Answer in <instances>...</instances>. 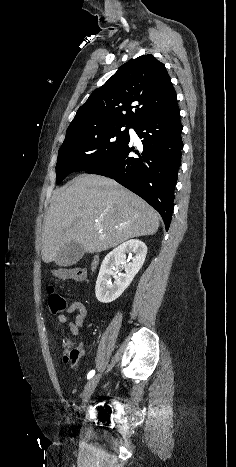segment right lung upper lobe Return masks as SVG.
<instances>
[{
  "instance_id": "1",
  "label": "right lung upper lobe",
  "mask_w": 236,
  "mask_h": 467,
  "mask_svg": "<svg viewBox=\"0 0 236 467\" xmlns=\"http://www.w3.org/2000/svg\"><path fill=\"white\" fill-rule=\"evenodd\" d=\"M174 102L176 92L164 64L151 54L143 55L123 64L90 95L66 136L113 125L135 127Z\"/></svg>"
}]
</instances>
